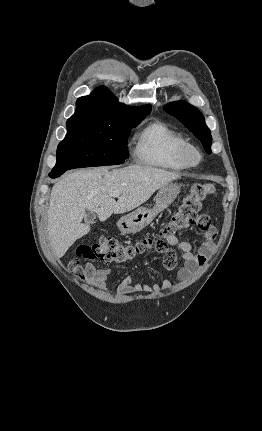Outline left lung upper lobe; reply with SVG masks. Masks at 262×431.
<instances>
[{"label": "left lung upper lobe", "mask_w": 262, "mask_h": 431, "mask_svg": "<svg viewBox=\"0 0 262 431\" xmlns=\"http://www.w3.org/2000/svg\"><path fill=\"white\" fill-rule=\"evenodd\" d=\"M165 111L176 117L182 122L193 134L201 140V143L207 153H211L212 136L209 128L205 124L203 115L197 108L190 104L177 101L164 106Z\"/></svg>", "instance_id": "1"}]
</instances>
